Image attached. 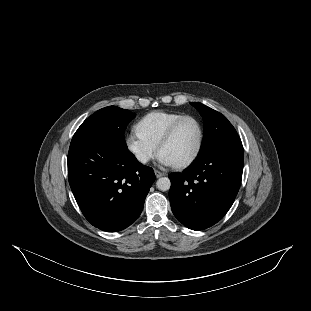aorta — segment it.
<instances>
[{
    "label": "aorta",
    "instance_id": "aorta-1",
    "mask_svg": "<svg viewBox=\"0 0 311 311\" xmlns=\"http://www.w3.org/2000/svg\"><path fill=\"white\" fill-rule=\"evenodd\" d=\"M156 187L161 191H167L171 187V181L168 177H161L157 180Z\"/></svg>",
    "mask_w": 311,
    "mask_h": 311
}]
</instances>
